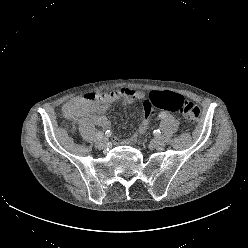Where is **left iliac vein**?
I'll use <instances>...</instances> for the list:
<instances>
[{
	"label": "left iliac vein",
	"instance_id": "4c4485c4",
	"mask_svg": "<svg viewBox=\"0 0 248 248\" xmlns=\"http://www.w3.org/2000/svg\"><path fill=\"white\" fill-rule=\"evenodd\" d=\"M152 144L155 148H161L165 145V139L162 136H157L153 139Z\"/></svg>",
	"mask_w": 248,
	"mask_h": 248
}]
</instances>
